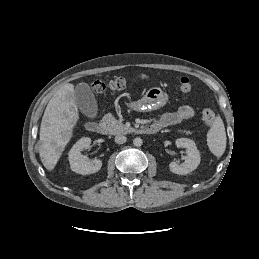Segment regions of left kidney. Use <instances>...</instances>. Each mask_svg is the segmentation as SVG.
<instances>
[{"label":"left kidney","mask_w":259,"mask_h":259,"mask_svg":"<svg viewBox=\"0 0 259 259\" xmlns=\"http://www.w3.org/2000/svg\"><path fill=\"white\" fill-rule=\"evenodd\" d=\"M177 147L185 148L187 151V156L185 161L181 164L177 162H171L169 164V169L171 172L178 175H186L194 171L200 164V152L196 147L193 140L188 138H179L175 141Z\"/></svg>","instance_id":"obj_1"}]
</instances>
